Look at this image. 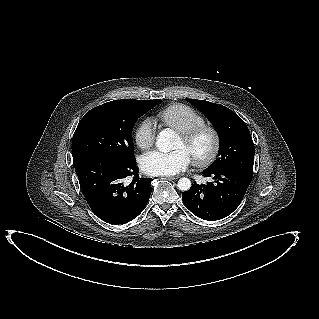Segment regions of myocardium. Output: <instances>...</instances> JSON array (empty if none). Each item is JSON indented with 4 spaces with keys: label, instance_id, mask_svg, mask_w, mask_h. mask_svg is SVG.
I'll return each instance as SVG.
<instances>
[{
    "label": "myocardium",
    "instance_id": "myocardium-1",
    "mask_svg": "<svg viewBox=\"0 0 319 319\" xmlns=\"http://www.w3.org/2000/svg\"><path fill=\"white\" fill-rule=\"evenodd\" d=\"M202 134L208 135L210 139V148L204 156L192 157L193 164L199 168L208 167L216 160L221 146V139L218 131L213 126L204 123L179 132V136L187 144L193 142Z\"/></svg>",
    "mask_w": 319,
    "mask_h": 319
}]
</instances>
